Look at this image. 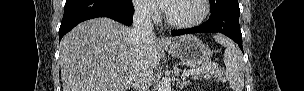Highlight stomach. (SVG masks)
I'll return each mask as SVG.
<instances>
[{"label": "stomach", "instance_id": "stomach-1", "mask_svg": "<svg viewBox=\"0 0 304 91\" xmlns=\"http://www.w3.org/2000/svg\"><path fill=\"white\" fill-rule=\"evenodd\" d=\"M164 49L188 65H204L211 60L212 51L196 36L187 35L173 39Z\"/></svg>", "mask_w": 304, "mask_h": 91}]
</instances>
